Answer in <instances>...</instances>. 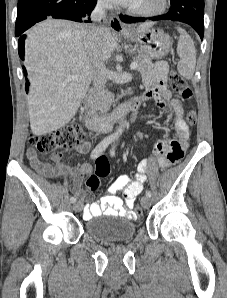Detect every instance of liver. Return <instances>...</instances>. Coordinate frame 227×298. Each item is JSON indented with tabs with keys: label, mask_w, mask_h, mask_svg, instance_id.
I'll return each instance as SVG.
<instances>
[{
	"label": "liver",
	"mask_w": 227,
	"mask_h": 298,
	"mask_svg": "<svg viewBox=\"0 0 227 298\" xmlns=\"http://www.w3.org/2000/svg\"><path fill=\"white\" fill-rule=\"evenodd\" d=\"M152 23L139 25L138 31ZM86 26L68 20L47 19L27 34L24 65L30 81V120L34 135L58 130L77 113L94 77L95 59ZM99 55L107 61L117 48L115 35L97 31Z\"/></svg>",
	"instance_id": "liver-1"
}]
</instances>
